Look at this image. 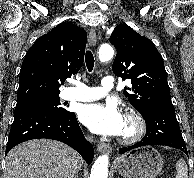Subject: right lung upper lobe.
I'll return each instance as SVG.
<instances>
[{
	"label": "right lung upper lobe",
	"instance_id": "right-lung-upper-lobe-1",
	"mask_svg": "<svg viewBox=\"0 0 194 178\" xmlns=\"http://www.w3.org/2000/svg\"><path fill=\"white\" fill-rule=\"evenodd\" d=\"M86 41L84 29L65 22L37 39L21 66L17 102L59 96V84L83 64Z\"/></svg>",
	"mask_w": 194,
	"mask_h": 178
}]
</instances>
